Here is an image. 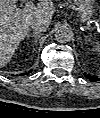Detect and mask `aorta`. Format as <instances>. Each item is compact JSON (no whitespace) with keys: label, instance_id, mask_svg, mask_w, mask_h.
I'll return each mask as SVG.
<instances>
[{"label":"aorta","instance_id":"aorta-1","mask_svg":"<svg viewBox=\"0 0 100 118\" xmlns=\"http://www.w3.org/2000/svg\"><path fill=\"white\" fill-rule=\"evenodd\" d=\"M72 38V30L70 27L61 25L55 31V39L59 43H67Z\"/></svg>","mask_w":100,"mask_h":118}]
</instances>
